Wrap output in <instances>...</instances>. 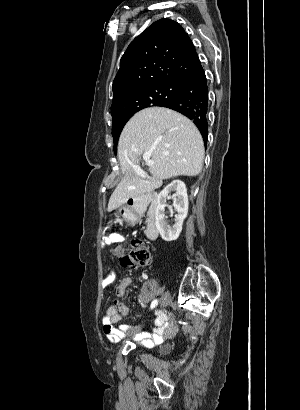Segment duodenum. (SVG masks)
<instances>
[{"mask_svg": "<svg viewBox=\"0 0 300 410\" xmlns=\"http://www.w3.org/2000/svg\"><path fill=\"white\" fill-rule=\"evenodd\" d=\"M127 218L130 223H136L138 217L144 215L146 218L145 235L153 241L158 236L156 224L157 198L155 195L145 198H134L130 206Z\"/></svg>", "mask_w": 300, "mask_h": 410, "instance_id": "1", "label": "duodenum"}]
</instances>
